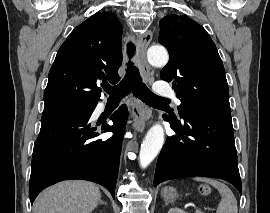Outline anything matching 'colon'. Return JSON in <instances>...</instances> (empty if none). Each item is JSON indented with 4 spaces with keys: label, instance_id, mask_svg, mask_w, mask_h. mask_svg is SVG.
Here are the masks:
<instances>
[{
    "label": "colon",
    "instance_id": "colon-1",
    "mask_svg": "<svg viewBox=\"0 0 270 213\" xmlns=\"http://www.w3.org/2000/svg\"><path fill=\"white\" fill-rule=\"evenodd\" d=\"M200 192H201L202 194H204V195H207V194H209V192H210V188H209L208 186H202V187L200 188Z\"/></svg>",
    "mask_w": 270,
    "mask_h": 213
}]
</instances>
